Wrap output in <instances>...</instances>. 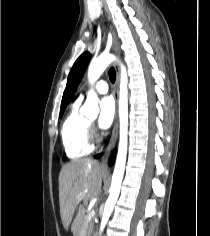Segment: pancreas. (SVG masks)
<instances>
[{
	"label": "pancreas",
	"mask_w": 210,
	"mask_h": 236,
	"mask_svg": "<svg viewBox=\"0 0 210 236\" xmlns=\"http://www.w3.org/2000/svg\"><path fill=\"white\" fill-rule=\"evenodd\" d=\"M90 213L88 215H86L84 218L82 233H85L86 231H88L90 229V227H92L94 224V221L89 219ZM79 236H82V235H79Z\"/></svg>",
	"instance_id": "1"
}]
</instances>
